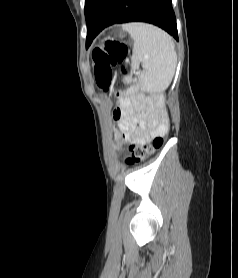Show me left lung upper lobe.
Returning <instances> with one entry per match:
<instances>
[{"instance_id": "left-lung-upper-lobe-1", "label": "left lung upper lobe", "mask_w": 238, "mask_h": 278, "mask_svg": "<svg viewBox=\"0 0 238 278\" xmlns=\"http://www.w3.org/2000/svg\"><path fill=\"white\" fill-rule=\"evenodd\" d=\"M100 2H101V0H85L84 12H85L87 26L89 24L92 14L94 13L96 7L98 6V4Z\"/></svg>"}]
</instances>
